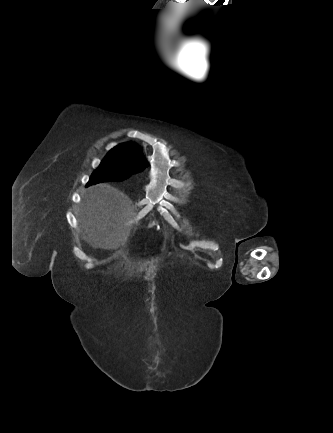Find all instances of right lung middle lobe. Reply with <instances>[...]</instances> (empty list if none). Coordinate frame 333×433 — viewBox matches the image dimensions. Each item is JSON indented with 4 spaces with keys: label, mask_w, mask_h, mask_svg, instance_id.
<instances>
[{
    "label": "right lung middle lobe",
    "mask_w": 333,
    "mask_h": 433,
    "mask_svg": "<svg viewBox=\"0 0 333 433\" xmlns=\"http://www.w3.org/2000/svg\"><path fill=\"white\" fill-rule=\"evenodd\" d=\"M146 166L131 159L114 158L107 155L91 175L88 185L105 181H123Z\"/></svg>",
    "instance_id": "1"
}]
</instances>
